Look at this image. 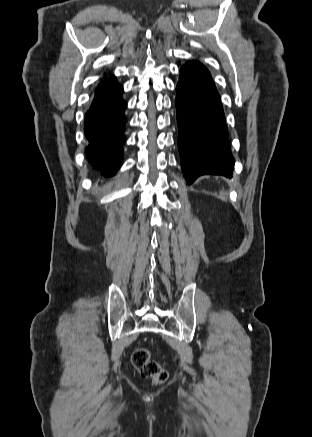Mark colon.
<instances>
[{"label":"colon","instance_id":"obj_1","mask_svg":"<svg viewBox=\"0 0 312 437\" xmlns=\"http://www.w3.org/2000/svg\"><path fill=\"white\" fill-rule=\"evenodd\" d=\"M132 364L142 377L155 384H162L168 379V372L157 361L151 359L147 348H138L132 354Z\"/></svg>","mask_w":312,"mask_h":437}]
</instances>
